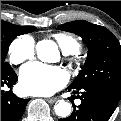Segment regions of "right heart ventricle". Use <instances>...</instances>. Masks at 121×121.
<instances>
[{"label": "right heart ventricle", "mask_w": 121, "mask_h": 121, "mask_svg": "<svg viewBox=\"0 0 121 121\" xmlns=\"http://www.w3.org/2000/svg\"><path fill=\"white\" fill-rule=\"evenodd\" d=\"M55 38L65 53H73L79 50V44L74 37L66 34H58Z\"/></svg>", "instance_id": "e07e8e85"}]
</instances>
